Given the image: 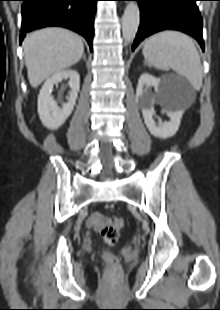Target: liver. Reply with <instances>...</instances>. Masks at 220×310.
<instances>
[{
    "instance_id": "liver-1",
    "label": "liver",
    "mask_w": 220,
    "mask_h": 310,
    "mask_svg": "<svg viewBox=\"0 0 220 310\" xmlns=\"http://www.w3.org/2000/svg\"><path fill=\"white\" fill-rule=\"evenodd\" d=\"M23 48L28 79L33 88L76 64L84 52L81 37L63 28L35 31L25 38Z\"/></svg>"
}]
</instances>
